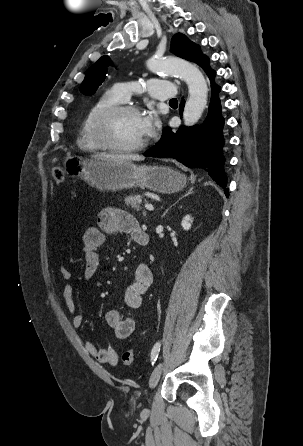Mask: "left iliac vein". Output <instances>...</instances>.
Here are the masks:
<instances>
[{
  "label": "left iliac vein",
  "instance_id": "left-iliac-vein-1",
  "mask_svg": "<svg viewBox=\"0 0 303 446\" xmlns=\"http://www.w3.org/2000/svg\"><path fill=\"white\" fill-rule=\"evenodd\" d=\"M162 370H163V363L157 364L156 367L153 369L150 379H149L150 388L156 387V385L158 384V381L160 379Z\"/></svg>",
  "mask_w": 303,
  "mask_h": 446
}]
</instances>
